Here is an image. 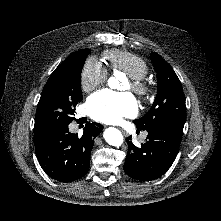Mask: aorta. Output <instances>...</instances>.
Wrapping results in <instances>:
<instances>
[{
    "label": "aorta",
    "instance_id": "1",
    "mask_svg": "<svg viewBox=\"0 0 221 221\" xmlns=\"http://www.w3.org/2000/svg\"><path fill=\"white\" fill-rule=\"evenodd\" d=\"M118 81L115 77H110L108 80V85L110 88L114 89L117 87ZM105 141L112 146H120L123 143V135L120 130L116 128H108L104 131Z\"/></svg>",
    "mask_w": 221,
    "mask_h": 221
}]
</instances>
